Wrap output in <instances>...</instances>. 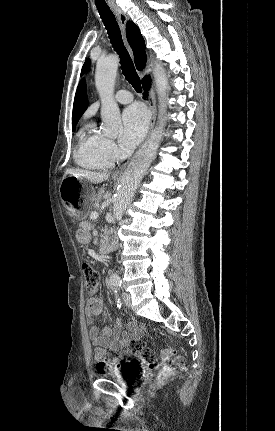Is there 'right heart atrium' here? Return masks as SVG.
Returning a JSON list of instances; mask_svg holds the SVG:
<instances>
[{"mask_svg": "<svg viewBox=\"0 0 275 431\" xmlns=\"http://www.w3.org/2000/svg\"><path fill=\"white\" fill-rule=\"evenodd\" d=\"M105 151L111 156L113 159L117 158L120 155V150L115 144V142L111 139H106L105 141Z\"/></svg>", "mask_w": 275, "mask_h": 431, "instance_id": "right-heart-atrium-1", "label": "right heart atrium"}]
</instances>
